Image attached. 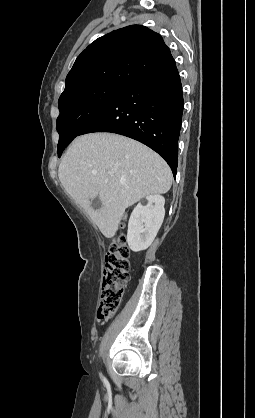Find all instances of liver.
I'll list each match as a JSON object with an SVG mask.
<instances>
[{
    "mask_svg": "<svg viewBox=\"0 0 255 418\" xmlns=\"http://www.w3.org/2000/svg\"><path fill=\"white\" fill-rule=\"evenodd\" d=\"M58 176L107 238L116 234L126 208L145 196L167 193L172 185V172L157 153L113 133L77 137L60 163ZM97 196L102 207L93 209L91 201Z\"/></svg>",
    "mask_w": 255,
    "mask_h": 418,
    "instance_id": "liver-1",
    "label": "liver"
}]
</instances>
